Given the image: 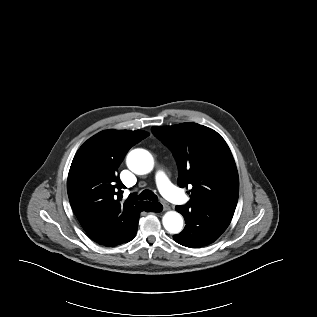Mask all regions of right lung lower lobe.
Instances as JSON below:
<instances>
[{
    "instance_id": "right-lung-lower-lobe-1",
    "label": "right lung lower lobe",
    "mask_w": 317,
    "mask_h": 317,
    "mask_svg": "<svg viewBox=\"0 0 317 317\" xmlns=\"http://www.w3.org/2000/svg\"><path fill=\"white\" fill-rule=\"evenodd\" d=\"M163 207L160 203H151L148 202L146 205H144L141 209L135 213L131 219L130 224L127 227V230L125 233H123L121 236H119L116 240H111L108 237L105 236L104 233H100L96 230L88 232V236L95 242L99 243L100 245H104L106 247L110 246H116L119 244L127 243L131 241L137 232V226H138V219L140 216L141 211L146 212H160L162 211Z\"/></svg>"
}]
</instances>
